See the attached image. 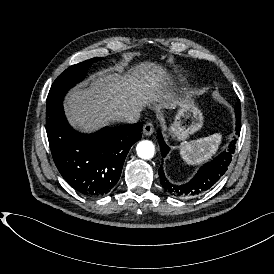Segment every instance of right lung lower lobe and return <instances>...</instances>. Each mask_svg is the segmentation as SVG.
I'll use <instances>...</instances> for the list:
<instances>
[{"mask_svg":"<svg viewBox=\"0 0 274 274\" xmlns=\"http://www.w3.org/2000/svg\"><path fill=\"white\" fill-rule=\"evenodd\" d=\"M142 127L138 122L81 134L68 124L63 99L46 109V132L54 163L69 185L87 197L114 191L130 147L141 139Z\"/></svg>","mask_w":274,"mask_h":274,"instance_id":"98d812e1","label":"right lung lower lobe"}]
</instances>
